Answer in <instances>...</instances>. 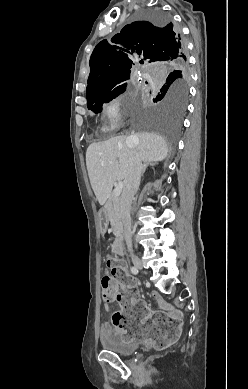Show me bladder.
<instances>
[{"label":"bladder","instance_id":"obj_1","mask_svg":"<svg viewBox=\"0 0 248 389\" xmlns=\"http://www.w3.org/2000/svg\"><path fill=\"white\" fill-rule=\"evenodd\" d=\"M99 340L104 351L113 352L118 355H131L140 347L138 342L124 340L120 331L116 330L101 332Z\"/></svg>","mask_w":248,"mask_h":389}]
</instances>
